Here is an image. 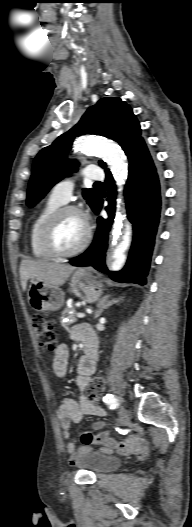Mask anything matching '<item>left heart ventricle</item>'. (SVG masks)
<instances>
[{"label": "left heart ventricle", "instance_id": "b2bd125f", "mask_svg": "<svg viewBox=\"0 0 192 527\" xmlns=\"http://www.w3.org/2000/svg\"><path fill=\"white\" fill-rule=\"evenodd\" d=\"M86 232L84 220L75 213L64 215L54 232V243L63 251L72 250L83 240Z\"/></svg>", "mask_w": 192, "mask_h": 527}]
</instances>
